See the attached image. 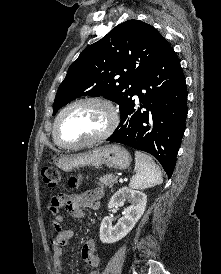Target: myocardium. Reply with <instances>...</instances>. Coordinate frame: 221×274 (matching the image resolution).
I'll list each match as a JSON object with an SVG mask.
<instances>
[{
    "label": "myocardium",
    "mask_w": 221,
    "mask_h": 274,
    "mask_svg": "<svg viewBox=\"0 0 221 274\" xmlns=\"http://www.w3.org/2000/svg\"><path fill=\"white\" fill-rule=\"evenodd\" d=\"M85 103H93L105 108L108 114V124L106 128L97 136H94L82 142H78V143L63 142L59 137V124L63 115L74 106L85 104ZM118 123H119V112L116 106L113 104V102L98 96L82 97L70 102L59 112L54 122L53 139L56 142V144H58L60 147H63L66 149H78V148L89 146L107 139L115 131V129L118 126Z\"/></svg>",
    "instance_id": "f54148a6"
}]
</instances>
